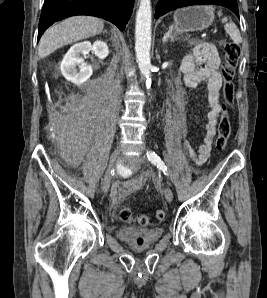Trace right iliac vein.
<instances>
[{
  "mask_svg": "<svg viewBox=\"0 0 267 298\" xmlns=\"http://www.w3.org/2000/svg\"><path fill=\"white\" fill-rule=\"evenodd\" d=\"M120 158V151L118 149L114 150L111 154L109 165L107 167V170L105 172L103 181H102V191L104 193H107L110 187V181H111V171L114 168L116 162Z\"/></svg>",
  "mask_w": 267,
  "mask_h": 298,
  "instance_id": "obj_1",
  "label": "right iliac vein"
}]
</instances>
